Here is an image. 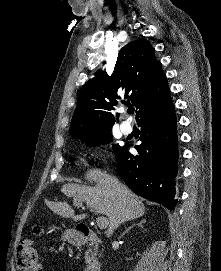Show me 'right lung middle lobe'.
Listing matches in <instances>:
<instances>
[{
    "instance_id": "obj_1",
    "label": "right lung middle lobe",
    "mask_w": 221,
    "mask_h": 271,
    "mask_svg": "<svg viewBox=\"0 0 221 271\" xmlns=\"http://www.w3.org/2000/svg\"><path fill=\"white\" fill-rule=\"evenodd\" d=\"M81 139L82 143H85L88 146H97L100 144H106L112 141V134H111V129L98 132V133H93V134H88L84 136L77 137ZM114 153L117 155L121 151V147L119 145H113Z\"/></svg>"
}]
</instances>
